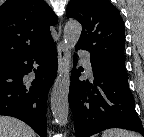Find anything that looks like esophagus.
<instances>
[{
  "label": "esophagus",
  "mask_w": 144,
  "mask_h": 137,
  "mask_svg": "<svg viewBox=\"0 0 144 137\" xmlns=\"http://www.w3.org/2000/svg\"><path fill=\"white\" fill-rule=\"evenodd\" d=\"M62 32L61 24L59 26V41L57 43V50H58V69L59 72H65L68 64H69V58H68V50L65 45V43L60 39Z\"/></svg>",
  "instance_id": "1"
}]
</instances>
